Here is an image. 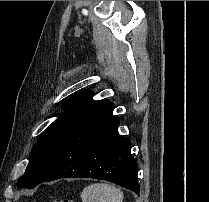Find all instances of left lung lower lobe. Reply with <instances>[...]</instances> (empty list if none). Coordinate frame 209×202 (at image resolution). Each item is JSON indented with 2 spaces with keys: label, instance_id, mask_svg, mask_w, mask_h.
Segmentation results:
<instances>
[{
  "label": "left lung lower lobe",
  "instance_id": "left-lung-lower-lobe-1",
  "mask_svg": "<svg viewBox=\"0 0 209 202\" xmlns=\"http://www.w3.org/2000/svg\"><path fill=\"white\" fill-rule=\"evenodd\" d=\"M109 102L87 118L64 146L54 168L43 182L67 177L106 180L139 194L137 161L131 142L118 133L120 120Z\"/></svg>",
  "mask_w": 209,
  "mask_h": 202
}]
</instances>
